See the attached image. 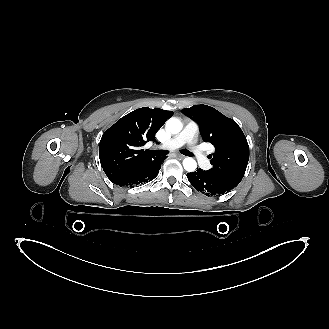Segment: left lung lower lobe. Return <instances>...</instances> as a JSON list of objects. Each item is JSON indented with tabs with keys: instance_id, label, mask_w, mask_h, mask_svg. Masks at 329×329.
<instances>
[{
	"instance_id": "1",
	"label": "left lung lower lobe",
	"mask_w": 329,
	"mask_h": 329,
	"mask_svg": "<svg viewBox=\"0 0 329 329\" xmlns=\"http://www.w3.org/2000/svg\"><path fill=\"white\" fill-rule=\"evenodd\" d=\"M187 178L196 190L205 193L207 196L222 195L236 187L202 169H198L193 173H187Z\"/></svg>"
}]
</instances>
